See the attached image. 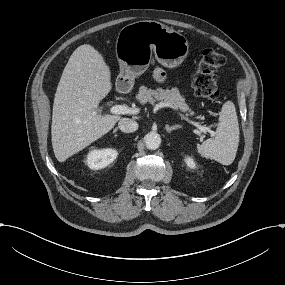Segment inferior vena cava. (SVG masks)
<instances>
[{
  "label": "inferior vena cava",
  "mask_w": 285,
  "mask_h": 285,
  "mask_svg": "<svg viewBox=\"0 0 285 285\" xmlns=\"http://www.w3.org/2000/svg\"><path fill=\"white\" fill-rule=\"evenodd\" d=\"M118 126L120 130L125 133H131L138 129V123L129 118H122L119 121Z\"/></svg>",
  "instance_id": "602c4592"
}]
</instances>
